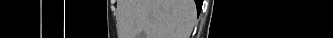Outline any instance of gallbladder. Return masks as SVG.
Masks as SVG:
<instances>
[{
	"label": "gallbladder",
	"instance_id": "bac80fb5",
	"mask_svg": "<svg viewBox=\"0 0 333 38\" xmlns=\"http://www.w3.org/2000/svg\"><path fill=\"white\" fill-rule=\"evenodd\" d=\"M139 38H146V34L144 32H142L140 35H139Z\"/></svg>",
	"mask_w": 333,
	"mask_h": 38
}]
</instances>
